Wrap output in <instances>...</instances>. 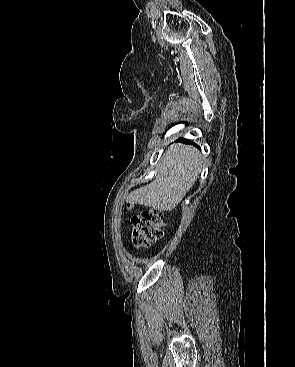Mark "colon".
I'll list each match as a JSON object with an SVG mask.
<instances>
[{"instance_id":"obj_1","label":"colon","mask_w":295,"mask_h":367,"mask_svg":"<svg viewBox=\"0 0 295 367\" xmlns=\"http://www.w3.org/2000/svg\"><path fill=\"white\" fill-rule=\"evenodd\" d=\"M164 214L157 209H149L132 217V241L136 247H146L163 236Z\"/></svg>"}]
</instances>
